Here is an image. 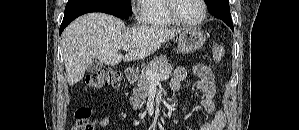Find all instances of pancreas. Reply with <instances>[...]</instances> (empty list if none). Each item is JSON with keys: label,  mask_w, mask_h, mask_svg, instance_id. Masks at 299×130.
<instances>
[{"label": "pancreas", "mask_w": 299, "mask_h": 130, "mask_svg": "<svg viewBox=\"0 0 299 130\" xmlns=\"http://www.w3.org/2000/svg\"><path fill=\"white\" fill-rule=\"evenodd\" d=\"M173 66L168 62L166 56H159L152 60L143 68L141 73L135 78L137 86L133 89V95L130 97V103L134 110L141 109L148 97L150 80L146 72L152 71L157 74H171Z\"/></svg>", "instance_id": "1"}]
</instances>
